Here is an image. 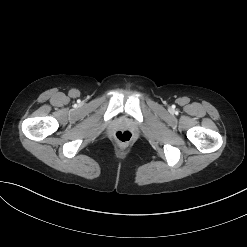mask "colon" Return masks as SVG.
Returning <instances> with one entry per match:
<instances>
[{"label":"colon","mask_w":247,"mask_h":247,"mask_svg":"<svg viewBox=\"0 0 247 247\" xmlns=\"http://www.w3.org/2000/svg\"><path fill=\"white\" fill-rule=\"evenodd\" d=\"M115 137L121 143H128L132 139V132L129 130H119L115 133Z\"/></svg>","instance_id":"5ec220e1"}]
</instances>
